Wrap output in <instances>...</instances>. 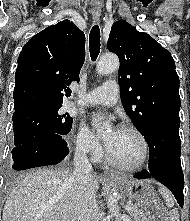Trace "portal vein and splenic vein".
<instances>
[{
	"label": "portal vein and splenic vein",
	"mask_w": 190,
	"mask_h": 221,
	"mask_svg": "<svg viewBox=\"0 0 190 221\" xmlns=\"http://www.w3.org/2000/svg\"><path fill=\"white\" fill-rule=\"evenodd\" d=\"M133 209V207L131 206V205H126L125 206V210H127V211H130V210H132Z\"/></svg>",
	"instance_id": "obj_1"
}]
</instances>
